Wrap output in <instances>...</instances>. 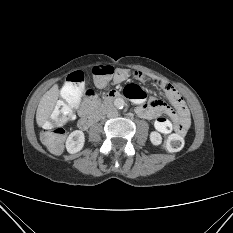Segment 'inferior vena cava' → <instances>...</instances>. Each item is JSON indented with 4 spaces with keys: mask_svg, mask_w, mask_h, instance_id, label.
I'll list each match as a JSON object with an SVG mask.
<instances>
[{
    "mask_svg": "<svg viewBox=\"0 0 233 233\" xmlns=\"http://www.w3.org/2000/svg\"><path fill=\"white\" fill-rule=\"evenodd\" d=\"M118 116V111L115 107L113 106H110L108 109H107V117L108 118H115Z\"/></svg>",
    "mask_w": 233,
    "mask_h": 233,
    "instance_id": "inferior-vena-cava-1",
    "label": "inferior vena cava"
}]
</instances>
